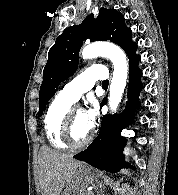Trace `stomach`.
Wrapping results in <instances>:
<instances>
[{
  "instance_id": "0dacf381",
  "label": "stomach",
  "mask_w": 178,
  "mask_h": 195,
  "mask_svg": "<svg viewBox=\"0 0 178 195\" xmlns=\"http://www.w3.org/2000/svg\"><path fill=\"white\" fill-rule=\"evenodd\" d=\"M96 174L86 166L77 168L73 178L66 184L61 195H84L87 186L93 183Z\"/></svg>"
}]
</instances>
